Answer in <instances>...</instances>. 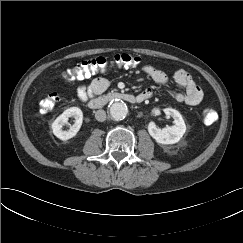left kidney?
Wrapping results in <instances>:
<instances>
[{
    "label": "left kidney",
    "instance_id": "left-kidney-1",
    "mask_svg": "<svg viewBox=\"0 0 243 243\" xmlns=\"http://www.w3.org/2000/svg\"><path fill=\"white\" fill-rule=\"evenodd\" d=\"M163 111L167 116L173 117L174 125L160 129L154 122H150L148 125V132L159 144H175L180 141L185 134L186 124L182 115L177 110L165 108ZM159 113V109L153 110V114L158 115Z\"/></svg>",
    "mask_w": 243,
    "mask_h": 243
}]
</instances>
